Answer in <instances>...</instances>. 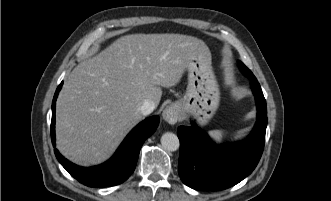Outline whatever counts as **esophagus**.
Masks as SVG:
<instances>
[{
  "label": "esophagus",
  "instance_id": "1",
  "mask_svg": "<svg viewBox=\"0 0 331 201\" xmlns=\"http://www.w3.org/2000/svg\"><path fill=\"white\" fill-rule=\"evenodd\" d=\"M162 118L171 125L175 124L180 120L179 108L174 104L167 106L162 113Z\"/></svg>",
  "mask_w": 331,
  "mask_h": 201
}]
</instances>
